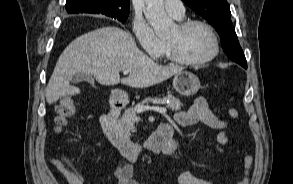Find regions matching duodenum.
Returning <instances> with one entry per match:
<instances>
[{"mask_svg":"<svg viewBox=\"0 0 293 184\" xmlns=\"http://www.w3.org/2000/svg\"><path fill=\"white\" fill-rule=\"evenodd\" d=\"M125 104L124 95L113 94L109 100L110 111L100 117L103 133L122 156L136 161L144 151L168 154L175 149L173 129L168 123H161L143 144L135 143L124 136L116 126V119Z\"/></svg>","mask_w":293,"mask_h":184,"instance_id":"duodenum-1","label":"duodenum"}]
</instances>
